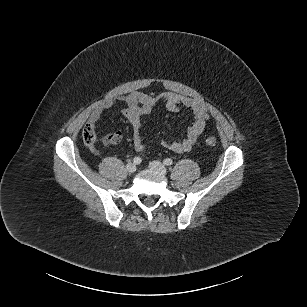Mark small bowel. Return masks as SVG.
Listing matches in <instances>:
<instances>
[{"label":"small bowel","mask_w":307,"mask_h":307,"mask_svg":"<svg viewBox=\"0 0 307 307\" xmlns=\"http://www.w3.org/2000/svg\"><path fill=\"white\" fill-rule=\"evenodd\" d=\"M124 107L121 113L128 119L133 130V145L137 152H143L145 145L142 138L143 117L149 114L158 102L165 103L171 112H178L181 107L189 109L194 114V120L188 127L186 136L181 140H164L162 145L168 150L182 154L191 150L198 137L204 132L209 120V112L204 103L187 96L166 92L159 96L142 92H132L123 97ZM115 101L110 99L100 103L91 113L88 124L95 126L102 112L113 107ZM120 133V132H118ZM121 134V133H120Z\"/></svg>","instance_id":"obj_1"}]
</instances>
